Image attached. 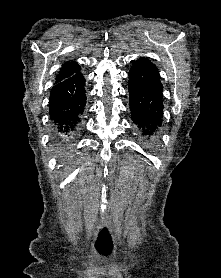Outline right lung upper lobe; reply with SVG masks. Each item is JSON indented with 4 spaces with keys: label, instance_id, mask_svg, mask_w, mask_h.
I'll use <instances>...</instances> for the list:
<instances>
[{
    "label": "right lung upper lobe",
    "instance_id": "cb5924a9",
    "mask_svg": "<svg viewBox=\"0 0 221 278\" xmlns=\"http://www.w3.org/2000/svg\"><path fill=\"white\" fill-rule=\"evenodd\" d=\"M80 71V66L75 61L66 62L62 65L59 74L56 77L55 83L65 80Z\"/></svg>",
    "mask_w": 221,
    "mask_h": 278
}]
</instances>
